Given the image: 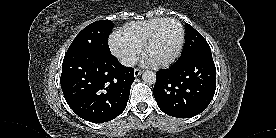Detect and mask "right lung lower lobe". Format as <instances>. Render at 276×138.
Listing matches in <instances>:
<instances>
[{"instance_id":"98d812e1","label":"right lung lower lobe","mask_w":276,"mask_h":138,"mask_svg":"<svg viewBox=\"0 0 276 138\" xmlns=\"http://www.w3.org/2000/svg\"><path fill=\"white\" fill-rule=\"evenodd\" d=\"M134 69L110 52L79 51L64 57L60 83L66 102L82 119L103 123L126 108Z\"/></svg>"}]
</instances>
